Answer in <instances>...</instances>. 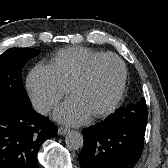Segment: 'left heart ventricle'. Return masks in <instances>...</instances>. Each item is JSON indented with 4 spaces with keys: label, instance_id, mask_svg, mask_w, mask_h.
Wrapping results in <instances>:
<instances>
[{
    "label": "left heart ventricle",
    "instance_id": "left-heart-ventricle-1",
    "mask_svg": "<svg viewBox=\"0 0 168 168\" xmlns=\"http://www.w3.org/2000/svg\"><path fill=\"white\" fill-rule=\"evenodd\" d=\"M121 78V69L114 59L100 62L89 80L77 87L73 95L79 97L91 114L106 107L115 96Z\"/></svg>",
    "mask_w": 168,
    "mask_h": 168
}]
</instances>
